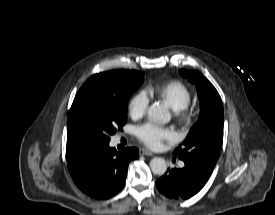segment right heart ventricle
Returning a JSON list of instances; mask_svg holds the SVG:
<instances>
[{"label":"right heart ventricle","mask_w":275,"mask_h":215,"mask_svg":"<svg viewBox=\"0 0 275 215\" xmlns=\"http://www.w3.org/2000/svg\"><path fill=\"white\" fill-rule=\"evenodd\" d=\"M148 92L165 101L173 110L185 109L191 101L189 89L180 81L169 80L166 82L152 85Z\"/></svg>","instance_id":"e07e8e85"}]
</instances>
